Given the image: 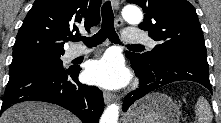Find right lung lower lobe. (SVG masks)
<instances>
[{
  "label": "right lung lower lobe",
  "mask_w": 221,
  "mask_h": 123,
  "mask_svg": "<svg viewBox=\"0 0 221 123\" xmlns=\"http://www.w3.org/2000/svg\"><path fill=\"white\" fill-rule=\"evenodd\" d=\"M79 68L28 67L10 72L1 110L23 101L57 104L83 123H98L104 110L103 93L78 81Z\"/></svg>",
  "instance_id": "98d812e1"
}]
</instances>
